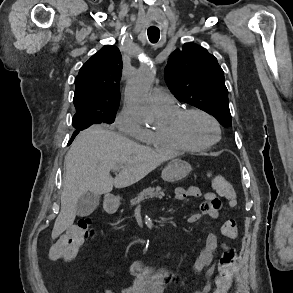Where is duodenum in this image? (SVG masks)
Masks as SVG:
<instances>
[{
  "mask_svg": "<svg viewBox=\"0 0 293 293\" xmlns=\"http://www.w3.org/2000/svg\"><path fill=\"white\" fill-rule=\"evenodd\" d=\"M114 207V202L107 203V210H111Z\"/></svg>",
  "mask_w": 293,
  "mask_h": 293,
  "instance_id": "410a0bca",
  "label": "duodenum"
}]
</instances>
